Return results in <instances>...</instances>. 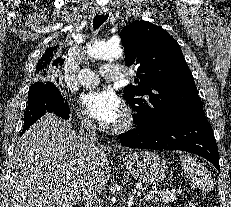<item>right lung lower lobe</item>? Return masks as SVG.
I'll return each instance as SVG.
<instances>
[{
	"label": "right lung lower lobe",
	"mask_w": 231,
	"mask_h": 207,
	"mask_svg": "<svg viewBox=\"0 0 231 207\" xmlns=\"http://www.w3.org/2000/svg\"><path fill=\"white\" fill-rule=\"evenodd\" d=\"M46 112H53L64 119H68L70 113L60 91L51 83L36 89L35 97L28 102L21 135Z\"/></svg>",
	"instance_id": "obj_1"
}]
</instances>
